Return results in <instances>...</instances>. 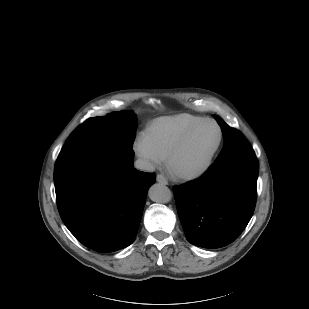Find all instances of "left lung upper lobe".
Wrapping results in <instances>:
<instances>
[{
	"label": "left lung upper lobe",
	"instance_id": "5c2ea615",
	"mask_svg": "<svg viewBox=\"0 0 309 309\" xmlns=\"http://www.w3.org/2000/svg\"><path fill=\"white\" fill-rule=\"evenodd\" d=\"M213 116L220 125L224 135V146L216 161L232 154L252 149L251 145L240 131L228 126L220 117L216 115Z\"/></svg>",
	"mask_w": 309,
	"mask_h": 309
}]
</instances>
